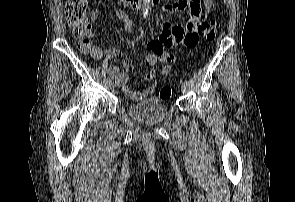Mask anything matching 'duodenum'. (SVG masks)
Listing matches in <instances>:
<instances>
[{
    "label": "duodenum",
    "mask_w": 295,
    "mask_h": 202,
    "mask_svg": "<svg viewBox=\"0 0 295 202\" xmlns=\"http://www.w3.org/2000/svg\"><path fill=\"white\" fill-rule=\"evenodd\" d=\"M126 5L130 6L131 8H140L146 0H121Z\"/></svg>",
    "instance_id": "410a0bca"
}]
</instances>
